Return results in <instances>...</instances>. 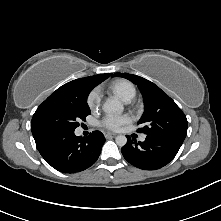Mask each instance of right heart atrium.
Returning <instances> with one entry per match:
<instances>
[{"label":"right heart atrium","instance_id":"d8ad5b80","mask_svg":"<svg viewBox=\"0 0 221 221\" xmlns=\"http://www.w3.org/2000/svg\"><path fill=\"white\" fill-rule=\"evenodd\" d=\"M101 92L99 88H94L87 96V105L90 109H95L100 105Z\"/></svg>","mask_w":221,"mask_h":221}]
</instances>
